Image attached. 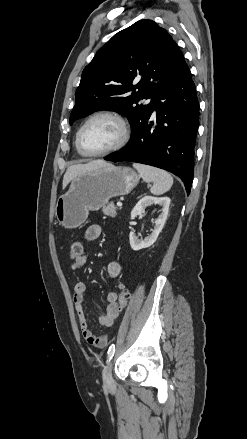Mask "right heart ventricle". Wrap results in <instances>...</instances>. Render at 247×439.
I'll return each mask as SVG.
<instances>
[{
  "instance_id": "1",
  "label": "right heart ventricle",
  "mask_w": 247,
  "mask_h": 439,
  "mask_svg": "<svg viewBox=\"0 0 247 439\" xmlns=\"http://www.w3.org/2000/svg\"><path fill=\"white\" fill-rule=\"evenodd\" d=\"M75 146H76L77 151L80 153V151H79V149H78V147H77L76 141H75Z\"/></svg>"
}]
</instances>
